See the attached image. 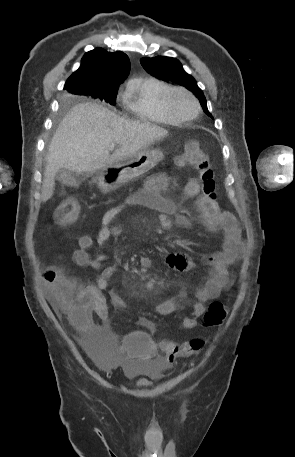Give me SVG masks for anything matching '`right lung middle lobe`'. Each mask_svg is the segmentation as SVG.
Wrapping results in <instances>:
<instances>
[{"instance_id": "obj_1", "label": "right lung middle lobe", "mask_w": 295, "mask_h": 457, "mask_svg": "<svg viewBox=\"0 0 295 457\" xmlns=\"http://www.w3.org/2000/svg\"><path fill=\"white\" fill-rule=\"evenodd\" d=\"M118 87H107V88H99V89H92L90 87L84 85H73L71 89V93L77 95H86L91 96L95 99H99L101 101H106L111 105L116 104V95H117Z\"/></svg>"}]
</instances>
